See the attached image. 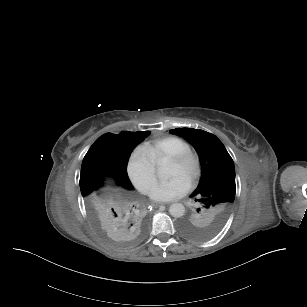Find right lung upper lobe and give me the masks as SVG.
I'll list each match as a JSON object with an SVG mask.
<instances>
[{"label":"right lung upper lobe","mask_w":307,"mask_h":307,"mask_svg":"<svg viewBox=\"0 0 307 307\" xmlns=\"http://www.w3.org/2000/svg\"><path fill=\"white\" fill-rule=\"evenodd\" d=\"M149 134V131L106 133L88 151L109 165V176L115 179L117 186L116 190L103 191L100 190L101 185L82 196L84 205L104 230L139 233L148 222L146 208L132 191L127 163L133 149Z\"/></svg>","instance_id":"obj_1"}]
</instances>
